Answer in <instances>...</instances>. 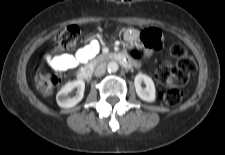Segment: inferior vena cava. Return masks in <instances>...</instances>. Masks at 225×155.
<instances>
[{
    "label": "inferior vena cava",
    "instance_id": "1",
    "mask_svg": "<svg viewBox=\"0 0 225 155\" xmlns=\"http://www.w3.org/2000/svg\"><path fill=\"white\" fill-rule=\"evenodd\" d=\"M105 71H106V65L101 63L95 68L94 74L95 76L99 77L103 75Z\"/></svg>",
    "mask_w": 225,
    "mask_h": 155
}]
</instances>
